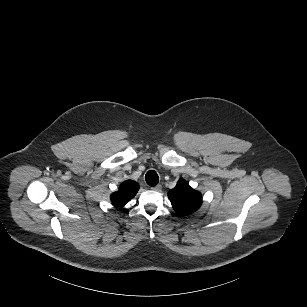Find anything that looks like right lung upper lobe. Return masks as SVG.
I'll return each instance as SVG.
<instances>
[{
	"label": "right lung upper lobe",
	"mask_w": 307,
	"mask_h": 307,
	"mask_svg": "<svg viewBox=\"0 0 307 307\" xmlns=\"http://www.w3.org/2000/svg\"><path fill=\"white\" fill-rule=\"evenodd\" d=\"M139 185L132 180H127L123 182L118 192L111 195V201L114 206H124L126 205L138 192Z\"/></svg>",
	"instance_id": "1"
}]
</instances>
